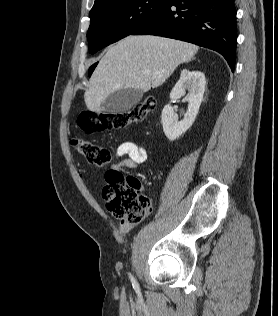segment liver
<instances>
[{
    "instance_id": "1",
    "label": "liver",
    "mask_w": 278,
    "mask_h": 316,
    "mask_svg": "<svg viewBox=\"0 0 278 316\" xmlns=\"http://www.w3.org/2000/svg\"><path fill=\"white\" fill-rule=\"evenodd\" d=\"M198 49L191 43L154 35L124 38L110 47L93 72L84 94L87 108L103 111L104 100L119 89L147 92L159 87L178 65L191 60Z\"/></svg>"
}]
</instances>
